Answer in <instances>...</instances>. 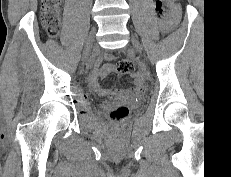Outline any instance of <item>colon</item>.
<instances>
[{
	"instance_id": "5ec220e1",
	"label": "colon",
	"mask_w": 231,
	"mask_h": 177,
	"mask_svg": "<svg viewBox=\"0 0 231 177\" xmlns=\"http://www.w3.org/2000/svg\"><path fill=\"white\" fill-rule=\"evenodd\" d=\"M162 1L172 4L174 0H160L156 8L161 19L166 18L162 8ZM60 4L61 0H41L42 25L50 37H55L60 27ZM117 71L128 74L133 71V64L128 59H122L117 64ZM129 110L126 106L120 105L111 111L110 117L115 122H121L128 116Z\"/></svg>"
}]
</instances>
